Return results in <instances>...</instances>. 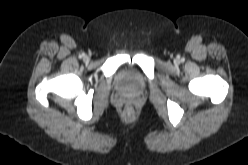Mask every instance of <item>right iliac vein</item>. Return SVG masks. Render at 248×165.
<instances>
[{"label": "right iliac vein", "instance_id": "right-iliac-vein-1", "mask_svg": "<svg viewBox=\"0 0 248 165\" xmlns=\"http://www.w3.org/2000/svg\"><path fill=\"white\" fill-rule=\"evenodd\" d=\"M83 60H84L85 62H87V61H89V57H88V56H84V57H83Z\"/></svg>", "mask_w": 248, "mask_h": 165}]
</instances>
